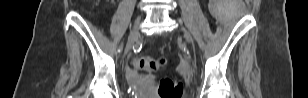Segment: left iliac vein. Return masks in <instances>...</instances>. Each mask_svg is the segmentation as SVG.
<instances>
[{"mask_svg":"<svg viewBox=\"0 0 308 98\" xmlns=\"http://www.w3.org/2000/svg\"><path fill=\"white\" fill-rule=\"evenodd\" d=\"M181 31H182L184 37H185L191 44H193V38H192L191 34L189 33V31H187V30L184 29V28H181Z\"/></svg>","mask_w":308,"mask_h":98,"instance_id":"4c4485c4","label":"left iliac vein"}]
</instances>
